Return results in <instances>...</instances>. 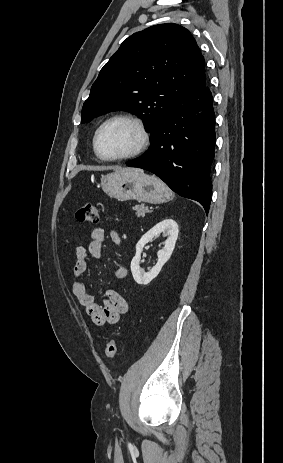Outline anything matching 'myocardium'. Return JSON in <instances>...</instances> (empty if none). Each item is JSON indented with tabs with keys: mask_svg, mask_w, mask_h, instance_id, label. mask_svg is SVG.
<instances>
[{
	"mask_svg": "<svg viewBox=\"0 0 283 463\" xmlns=\"http://www.w3.org/2000/svg\"><path fill=\"white\" fill-rule=\"evenodd\" d=\"M116 121L129 122L137 129L138 135H139L138 144L131 152L127 154L115 156V157H105L100 153L98 149V139L103 129L109 124L116 122ZM149 143H150V135H149V132L147 130L145 123L142 121L141 118L133 114H118V115H114L108 118L97 128L94 134V137H93V148H94L95 154L97 155L99 159L106 161V162H118V161H125V160L135 158L141 155L148 148Z\"/></svg>",
	"mask_w": 283,
	"mask_h": 463,
	"instance_id": "f54148a6",
	"label": "myocardium"
}]
</instances>
